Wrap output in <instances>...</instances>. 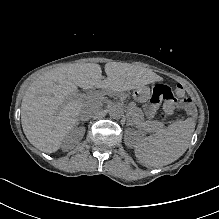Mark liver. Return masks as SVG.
Wrapping results in <instances>:
<instances>
[{
	"mask_svg": "<svg viewBox=\"0 0 219 219\" xmlns=\"http://www.w3.org/2000/svg\"><path fill=\"white\" fill-rule=\"evenodd\" d=\"M105 71L108 78L102 80L99 64H69L39 75L27 88L21 104V124L30 143L45 153H53L80 113L87 111L93 117L100 110L102 94L96 92L82 102L79 88L122 92L152 82L151 72L137 65L108 63ZM63 101L66 103L62 106Z\"/></svg>",
	"mask_w": 219,
	"mask_h": 219,
	"instance_id": "6515ba94",
	"label": "liver"
}]
</instances>
